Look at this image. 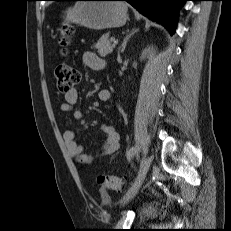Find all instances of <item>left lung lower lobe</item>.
<instances>
[{
  "label": "left lung lower lobe",
  "instance_id": "obj_1",
  "mask_svg": "<svg viewBox=\"0 0 231 231\" xmlns=\"http://www.w3.org/2000/svg\"><path fill=\"white\" fill-rule=\"evenodd\" d=\"M76 1V0H60ZM127 1L146 17L161 23L170 34L174 33L179 8L187 0H121Z\"/></svg>",
  "mask_w": 231,
  "mask_h": 231
}]
</instances>
